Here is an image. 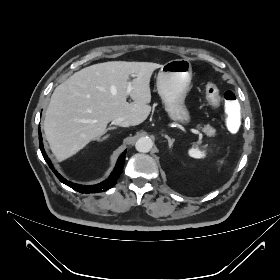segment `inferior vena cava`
I'll use <instances>...</instances> for the list:
<instances>
[{"mask_svg":"<svg viewBox=\"0 0 280 280\" xmlns=\"http://www.w3.org/2000/svg\"><path fill=\"white\" fill-rule=\"evenodd\" d=\"M112 123L114 125H119V126H122V127H128L131 125L130 121L127 120L126 118L124 117H118V118H115Z\"/></svg>","mask_w":280,"mask_h":280,"instance_id":"inferior-vena-cava-1","label":"inferior vena cava"}]
</instances>
